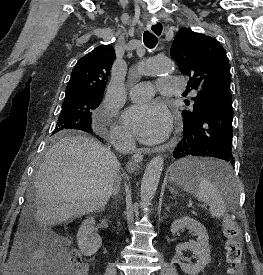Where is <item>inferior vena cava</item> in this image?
<instances>
[{
	"instance_id": "inferior-vena-cava-1",
	"label": "inferior vena cava",
	"mask_w": 263,
	"mask_h": 275,
	"mask_svg": "<svg viewBox=\"0 0 263 275\" xmlns=\"http://www.w3.org/2000/svg\"><path fill=\"white\" fill-rule=\"evenodd\" d=\"M114 148L122 153V154H127L131 151L134 150L135 148V141L134 138L128 134V133H121L120 135H118L114 142H113ZM115 181H117V183H119V177L117 176ZM114 194H116L117 189L113 190Z\"/></svg>"
}]
</instances>
